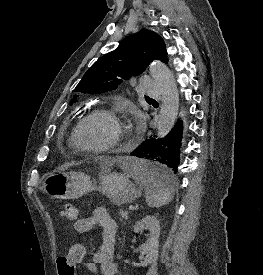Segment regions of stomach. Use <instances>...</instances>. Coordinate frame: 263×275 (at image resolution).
Here are the masks:
<instances>
[{
    "mask_svg": "<svg viewBox=\"0 0 263 275\" xmlns=\"http://www.w3.org/2000/svg\"><path fill=\"white\" fill-rule=\"evenodd\" d=\"M42 188L55 199H76L98 190L116 205L132 200L141 191L124 174L111 172L109 167L102 169L98 182L82 172L49 173L43 180Z\"/></svg>",
    "mask_w": 263,
    "mask_h": 275,
    "instance_id": "obj_1",
    "label": "stomach"
}]
</instances>
